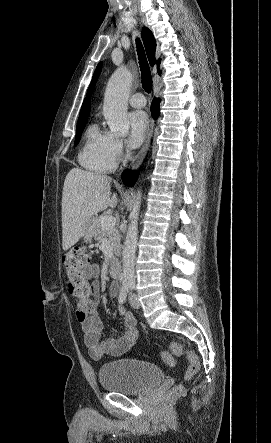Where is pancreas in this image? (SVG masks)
I'll use <instances>...</instances> for the list:
<instances>
[{
    "label": "pancreas",
    "mask_w": 271,
    "mask_h": 443,
    "mask_svg": "<svg viewBox=\"0 0 271 443\" xmlns=\"http://www.w3.org/2000/svg\"><path fill=\"white\" fill-rule=\"evenodd\" d=\"M101 218L103 216H99L97 220L94 222V239H98V241H104V239H108L111 243V247L115 253H118L120 247L118 229L116 227H109V229H105L101 225Z\"/></svg>",
    "instance_id": "1"
}]
</instances>
